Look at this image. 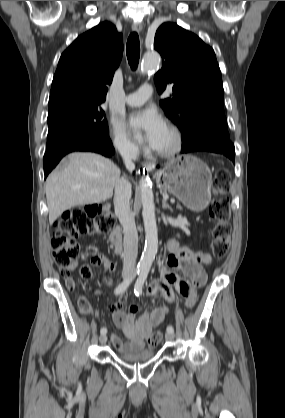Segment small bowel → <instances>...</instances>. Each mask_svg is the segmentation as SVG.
<instances>
[{
  "instance_id": "small-bowel-1",
  "label": "small bowel",
  "mask_w": 285,
  "mask_h": 418,
  "mask_svg": "<svg viewBox=\"0 0 285 418\" xmlns=\"http://www.w3.org/2000/svg\"><path fill=\"white\" fill-rule=\"evenodd\" d=\"M167 248L170 254L161 262L159 276L150 282L147 294L155 301H160L161 299L174 301L176 295L180 294L187 303H190L196 299L197 291L207 281V274L201 266L204 263L202 257L206 256V254L179 247L174 240L167 242ZM103 260L106 264V271L110 273L117 272V267L108 258L104 257ZM209 260V258H206L205 263H208ZM182 262L185 263V266L181 270ZM75 265L72 264V268ZM65 283L69 289L74 288L75 283L70 276V271L66 273ZM124 300L125 295L122 292L118 301L111 306V310L116 325L130 342L124 343L117 334L111 336V342L121 352L142 349L153 328L164 320L168 308L166 305L158 306L150 312H142L136 319L137 307L133 305L129 311H124L122 308ZM79 307L84 314H89L92 310L91 304L87 299H79Z\"/></svg>"
}]
</instances>
